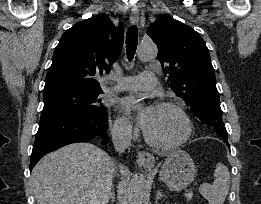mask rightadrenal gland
Returning a JSON list of instances; mask_svg holds the SVG:
<instances>
[{"label": "right adrenal gland", "mask_w": 261, "mask_h": 204, "mask_svg": "<svg viewBox=\"0 0 261 204\" xmlns=\"http://www.w3.org/2000/svg\"><path fill=\"white\" fill-rule=\"evenodd\" d=\"M110 199L112 200V202L115 201V192H114V188L112 189V191H111V193H110V196H109L108 202H109Z\"/></svg>", "instance_id": "1"}]
</instances>
